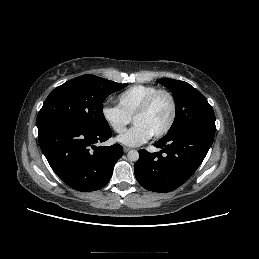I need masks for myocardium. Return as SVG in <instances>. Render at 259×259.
Masks as SVG:
<instances>
[{
    "instance_id": "obj_1",
    "label": "myocardium",
    "mask_w": 259,
    "mask_h": 259,
    "mask_svg": "<svg viewBox=\"0 0 259 259\" xmlns=\"http://www.w3.org/2000/svg\"><path fill=\"white\" fill-rule=\"evenodd\" d=\"M160 95H166L170 99L171 105H172V113H171V117H170V120L167 123V125L162 130H160L159 132L152 135L154 138H160V137L166 135L173 127L176 117H177V102H176L174 95L169 90L159 89V90L155 91L154 93H152L151 95H149L132 117L133 122H134V120L137 117L146 114L149 111V109L151 108V106L154 103V101L156 100V98Z\"/></svg>"
}]
</instances>
